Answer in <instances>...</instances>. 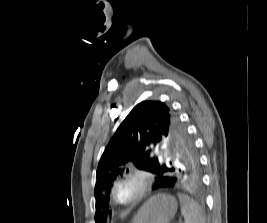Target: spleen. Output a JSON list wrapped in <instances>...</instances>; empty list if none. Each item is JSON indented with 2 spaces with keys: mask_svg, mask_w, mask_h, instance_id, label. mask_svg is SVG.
I'll return each mask as SVG.
<instances>
[{
  "mask_svg": "<svg viewBox=\"0 0 267 223\" xmlns=\"http://www.w3.org/2000/svg\"><path fill=\"white\" fill-rule=\"evenodd\" d=\"M184 223H205V215L197 202L185 194H178Z\"/></svg>",
  "mask_w": 267,
  "mask_h": 223,
  "instance_id": "1",
  "label": "spleen"
}]
</instances>
